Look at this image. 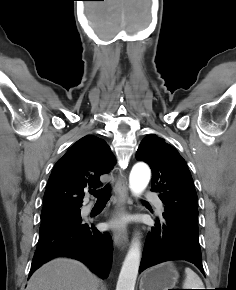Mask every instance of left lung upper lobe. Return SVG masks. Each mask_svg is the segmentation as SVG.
Returning <instances> with one entry per match:
<instances>
[{"label": "left lung upper lobe", "mask_w": 236, "mask_h": 290, "mask_svg": "<svg viewBox=\"0 0 236 290\" xmlns=\"http://www.w3.org/2000/svg\"><path fill=\"white\" fill-rule=\"evenodd\" d=\"M138 161L152 170V191L165 205L163 216L198 231L197 194L185 160L178 151L155 134L146 136L136 153Z\"/></svg>", "instance_id": "1"}]
</instances>
